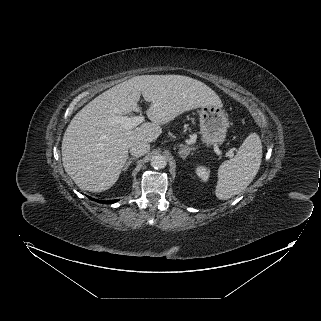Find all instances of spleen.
I'll return each mask as SVG.
<instances>
[{
	"label": "spleen",
	"mask_w": 321,
	"mask_h": 321,
	"mask_svg": "<svg viewBox=\"0 0 321 321\" xmlns=\"http://www.w3.org/2000/svg\"><path fill=\"white\" fill-rule=\"evenodd\" d=\"M261 159L260 137L256 133H251L244 140L235 157L219 166L216 197L227 200L241 193L255 178Z\"/></svg>",
	"instance_id": "obj_1"
}]
</instances>
